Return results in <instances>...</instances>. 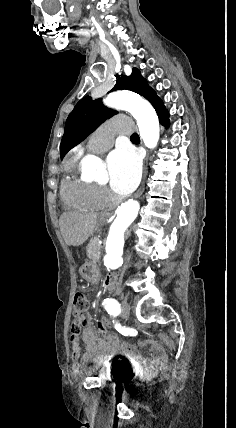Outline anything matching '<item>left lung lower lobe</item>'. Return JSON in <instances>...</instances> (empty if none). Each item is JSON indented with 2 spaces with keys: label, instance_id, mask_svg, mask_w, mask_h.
Here are the masks:
<instances>
[{
  "label": "left lung lower lobe",
  "instance_id": "0a47b994",
  "mask_svg": "<svg viewBox=\"0 0 236 428\" xmlns=\"http://www.w3.org/2000/svg\"><path fill=\"white\" fill-rule=\"evenodd\" d=\"M158 117H159V121L162 125H164L165 127L169 126V114L168 111L165 109V107H161L160 109L156 110Z\"/></svg>",
  "mask_w": 236,
  "mask_h": 428
}]
</instances>
